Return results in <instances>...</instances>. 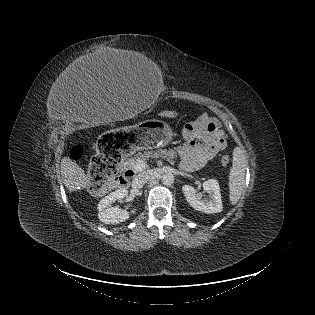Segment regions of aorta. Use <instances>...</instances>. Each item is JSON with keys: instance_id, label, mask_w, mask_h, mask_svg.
Masks as SVG:
<instances>
[{"instance_id": "762f6f07", "label": "aorta", "mask_w": 315, "mask_h": 315, "mask_svg": "<svg viewBox=\"0 0 315 315\" xmlns=\"http://www.w3.org/2000/svg\"><path fill=\"white\" fill-rule=\"evenodd\" d=\"M174 175L171 173H166L162 176L161 181L166 186H171L174 183Z\"/></svg>"}]
</instances>
